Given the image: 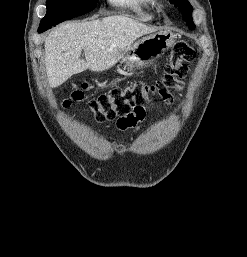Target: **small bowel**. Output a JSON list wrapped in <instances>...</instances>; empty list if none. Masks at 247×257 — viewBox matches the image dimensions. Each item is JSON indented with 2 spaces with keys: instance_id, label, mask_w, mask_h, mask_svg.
I'll use <instances>...</instances> for the list:
<instances>
[{
  "instance_id": "small-bowel-1",
  "label": "small bowel",
  "mask_w": 247,
  "mask_h": 257,
  "mask_svg": "<svg viewBox=\"0 0 247 257\" xmlns=\"http://www.w3.org/2000/svg\"><path fill=\"white\" fill-rule=\"evenodd\" d=\"M145 120V110L134 111L129 117L127 124L121 125L117 123V128L120 130L137 131Z\"/></svg>"
}]
</instances>
